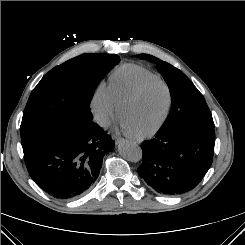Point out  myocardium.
<instances>
[{"instance_id":"1","label":"myocardium","mask_w":245,"mask_h":245,"mask_svg":"<svg viewBox=\"0 0 245 245\" xmlns=\"http://www.w3.org/2000/svg\"><path fill=\"white\" fill-rule=\"evenodd\" d=\"M152 82H159L160 84H162L164 86V88L166 90V94H167L166 106H165L162 117L160 118V120L157 122V124L154 127H152L151 129H149L145 132L135 134V136L140 138V139L150 137V136L154 135L155 133H157L161 129V127L164 125L165 121L167 120L170 109H171V104H172V92H171V88H170L169 84L164 79H162L161 77H159L157 75L153 76V77L146 78L143 81H141L136 86V88L128 96H126L121 101V103L119 104V113L122 116L123 108L128 103L137 99L139 97V95L142 93V91L144 90V88Z\"/></svg>"}]
</instances>
